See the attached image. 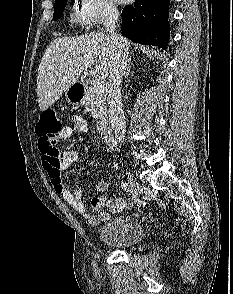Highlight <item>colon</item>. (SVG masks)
Instances as JSON below:
<instances>
[{
  "instance_id": "colon-1",
  "label": "colon",
  "mask_w": 233,
  "mask_h": 294,
  "mask_svg": "<svg viewBox=\"0 0 233 294\" xmlns=\"http://www.w3.org/2000/svg\"><path fill=\"white\" fill-rule=\"evenodd\" d=\"M63 129V122L54 110L48 109L41 113L36 124L41 152L50 157L58 156L59 151L56 145L62 139ZM105 206L114 211L124 209L123 204L116 199L107 200Z\"/></svg>"
}]
</instances>
